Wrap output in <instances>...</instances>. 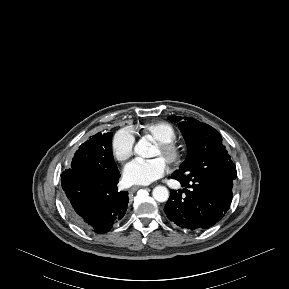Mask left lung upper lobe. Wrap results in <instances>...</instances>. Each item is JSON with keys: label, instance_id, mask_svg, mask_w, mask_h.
<instances>
[{"label": "left lung upper lobe", "instance_id": "5c2ea615", "mask_svg": "<svg viewBox=\"0 0 289 289\" xmlns=\"http://www.w3.org/2000/svg\"><path fill=\"white\" fill-rule=\"evenodd\" d=\"M168 119L179 122L188 146L186 160L173 174L186 182L207 179L233 188L236 167L218 131L190 117L170 116Z\"/></svg>", "mask_w": 289, "mask_h": 289}]
</instances>
